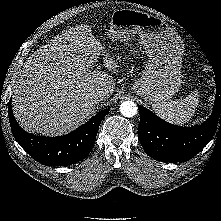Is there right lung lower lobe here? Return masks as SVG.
<instances>
[{
    "label": "right lung lower lobe",
    "instance_id": "1",
    "mask_svg": "<svg viewBox=\"0 0 221 221\" xmlns=\"http://www.w3.org/2000/svg\"><path fill=\"white\" fill-rule=\"evenodd\" d=\"M109 109L100 111L73 132L59 137H41L23 130L15 120L8 103V115L14 138L36 161L46 166H67L79 162L90 153L99 125Z\"/></svg>",
    "mask_w": 221,
    "mask_h": 221
}]
</instances>
